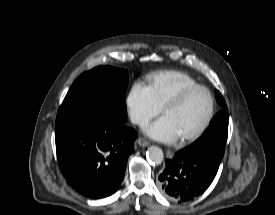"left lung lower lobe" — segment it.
Listing matches in <instances>:
<instances>
[{
  "label": "left lung lower lobe",
  "mask_w": 275,
  "mask_h": 215,
  "mask_svg": "<svg viewBox=\"0 0 275 215\" xmlns=\"http://www.w3.org/2000/svg\"><path fill=\"white\" fill-rule=\"evenodd\" d=\"M219 164L187 154L183 149L172 159L159 176L160 186L167 197L189 201L203 194L214 180Z\"/></svg>",
  "instance_id": "obj_1"
}]
</instances>
